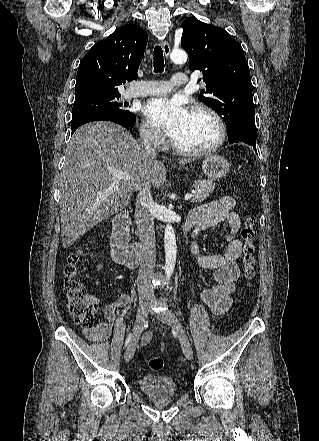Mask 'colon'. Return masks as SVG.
Instances as JSON below:
<instances>
[{"label":"colon","instance_id":"colon-1","mask_svg":"<svg viewBox=\"0 0 319 441\" xmlns=\"http://www.w3.org/2000/svg\"><path fill=\"white\" fill-rule=\"evenodd\" d=\"M255 218L246 215L242 224L241 237L244 241L242 252L243 277L247 285L255 279ZM80 252L69 255L67 264L64 268V292L65 302L69 315L73 321L83 328L94 326V315L97 311L96 304L89 298L84 285L80 281ZM148 366L152 371H159L164 366L161 357H152L148 361Z\"/></svg>","mask_w":319,"mask_h":441}]
</instances>
